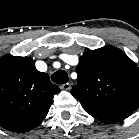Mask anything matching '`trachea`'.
<instances>
[{
    "label": "trachea",
    "instance_id": "1",
    "mask_svg": "<svg viewBox=\"0 0 139 139\" xmlns=\"http://www.w3.org/2000/svg\"><path fill=\"white\" fill-rule=\"evenodd\" d=\"M51 80L57 84H65L68 82V74L63 70H58L51 75Z\"/></svg>",
    "mask_w": 139,
    "mask_h": 139
}]
</instances>
